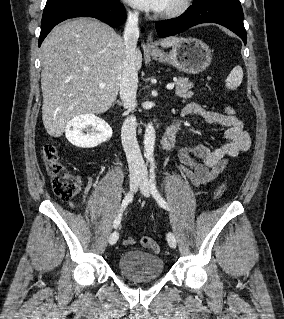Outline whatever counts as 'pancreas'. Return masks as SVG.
<instances>
[{"label":"pancreas","mask_w":284,"mask_h":319,"mask_svg":"<svg viewBox=\"0 0 284 319\" xmlns=\"http://www.w3.org/2000/svg\"><path fill=\"white\" fill-rule=\"evenodd\" d=\"M193 87V84L185 77H179L176 81L175 93L184 99L190 98L192 92L189 91Z\"/></svg>","instance_id":"cf45deb5"}]
</instances>
